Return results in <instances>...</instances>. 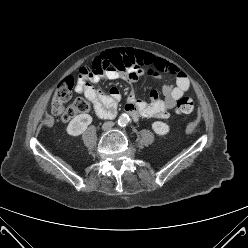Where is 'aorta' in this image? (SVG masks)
I'll return each mask as SVG.
<instances>
[{
	"instance_id": "aorta-1",
	"label": "aorta",
	"mask_w": 248,
	"mask_h": 248,
	"mask_svg": "<svg viewBox=\"0 0 248 248\" xmlns=\"http://www.w3.org/2000/svg\"><path fill=\"white\" fill-rule=\"evenodd\" d=\"M129 122V116L127 114H122L120 115L119 119H118V124L120 126H126Z\"/></svg>"
}]
</instances>
